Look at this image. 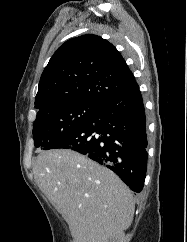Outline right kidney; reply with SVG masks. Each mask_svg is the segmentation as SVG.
<instances>
[{
  "mask_svg": "<svg viewBox=\"0 0 187 242\" xmlns=\"http://www.w3.org/2000/svg\"><path fill=\"white\" fill-rule=\"evenodd\" d=\"M125 235L123 232L119 233L116 236L111 237L107 242H124Z\"/></svg>",
  "mask_w": 187,
  "mask_h": 242,
  "instance_id": "right-kidney-1",
  "label": "right kidney"
}]
</instances>
